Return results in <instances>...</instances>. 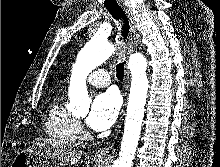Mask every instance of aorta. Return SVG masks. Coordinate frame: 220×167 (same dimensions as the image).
<instances>
[{
	"mask_svg": "<svg viewBox=\"0 0 220 167\" xmlns=\"http://www.w3.org/2000/svg\"><path fill=\"white\" fill-rule=\"evenodd\" d=\"M114 45L105 39L93 37L79 52L73 66L69 86L68 109L78 114H87L91 99L88 96L86 78L89 73L104 63L114 53ZM131 71V87L127 106L124 134L119 158L113 167H132L140 138L144 106L148 92L147 61L140 54H132L128 61Z\"/></svg>",
	"mask_w": 220,
	"mask_h": 167,
	"instance_id": "aorta-1",
	"label": "aorta"
}]
</instances>
